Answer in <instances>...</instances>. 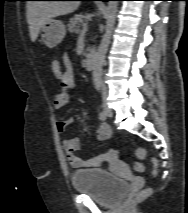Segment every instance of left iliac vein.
Instances as JSON below:
<instances>
[{
	"instance_id": "4c4485c4",
	"label": "left iliac vein",
	"mask_w": 188,
	"mask_h": 213,
	"mask_svg": "<svg viewBox=\"0 0 188 213\" xmlns=\"http://www.w3.org/2000/svg\"><path fill=\"white\" fill-rule=\"evenodd\" d=\"M109 112V116H111V112L110 111H108Z\"/></svg>"
}]
</instances>
